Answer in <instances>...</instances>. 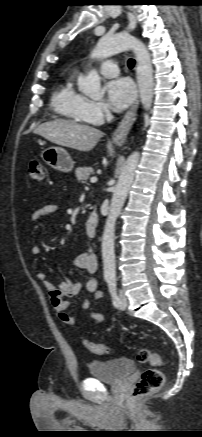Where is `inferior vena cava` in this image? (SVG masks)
<instances>
[{
    "label": "inferior vena cava",
    "instance_id": "602c4592",
    "mask_svg": "<svg viewBox=\"0 0 202 437\" xmlns=\"http://www.w3.org/2000/svg\"><path fill=\"white\" fill-rule=\"evenodd\" d=\"M106 116H107V119H110L112 117L110 111H108V110L106 111Z\"/></svg>",
    "mask_w": 202,
    "mask_h": 437
}]
</instances>
